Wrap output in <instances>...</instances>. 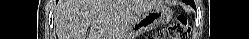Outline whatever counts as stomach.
I'll list each match as a JSON object with an SVG mask.
<instances>
[{"instance_id":"obj_1","label":"stomach","mask_w":249,"mask_h":39,"mask_svg":"<svg viewBox=\"0 0 249 39\" xmlns=\"http://www.w3.org/2000/svg\"><path fill=\"white\" fill-rule=\"evenodd\" d=\"M172 14V10L163 4H158L144 11L135 18L127 37L134 39L141 34L167 24L171 20Z\"/></svg>"}]
</instances>
